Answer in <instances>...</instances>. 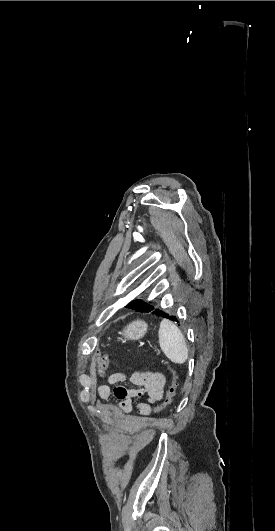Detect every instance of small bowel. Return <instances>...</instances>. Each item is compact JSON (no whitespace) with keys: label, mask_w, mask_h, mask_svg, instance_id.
<instances>
[{"label":"small bowel","mask_w":275,"mask_h":531,"mask_svg":"<svg viewBox=\"0 0 275 531\" xmlns=\"http://www.w3.org/2000/svg\"><path fill=\"white\" fill-rule=\"evenodd\" d=\"M127 376L123 372H113L108 377V384L98 387V396L102 400L109 399L112 387L126 382ZM129 381L138 388L127 389V396L118 406L104 405L108 413L127 414L134 407V399L144 397L145 401L136 403L135 407L139 416L146 417L151 414V404L160 401L163 397L166 378L160 372L137 371L131 375Z\"/></svg>","instance_id":"1"}]
</instances>
